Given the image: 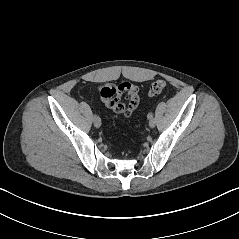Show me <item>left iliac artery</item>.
Segmentation results:
<instances>
[{"label": "left iliac artery", "instance_id": "obj_1", "mask_svg": "<svg viewBox=\"0 0 239 239\" xmlns=\"http://www.w3.org/2000/svg\"><path fill=\"white\" fill-rule=\"evenodd\" d=\"M147 117H148V119H152L153 118V113L152 112L148 113Z\"/></svg>", "mask_w": 239, "mask_h": 239}]
</instances>
